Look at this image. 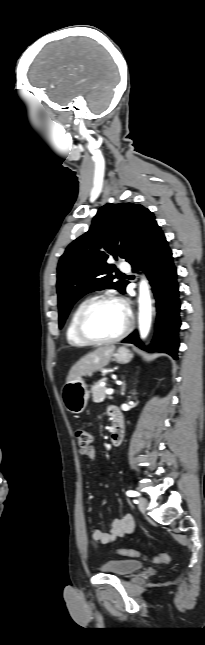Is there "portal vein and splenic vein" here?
I'll return each instance as SVG.
<instances>
[{
  "mask_svg": "<svg viewBox=\"0 0 205 645\" xmlns=\"http://www.w3.org/2000/svg\"><path fill=\"white\" fill-rule=\"evenodd\" d=\"M113 392H114V390H113L112 388H109V389H107V390L105 391V393H106L107 395H111V394H113Z\"/></svg>",
  "mask_w": 205,
  "mask_h": 645,
  "instance_id": "18ae733b",
  "label": "portal vein and splenic vein"
}]
</instances>
